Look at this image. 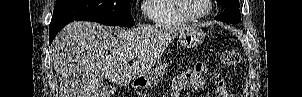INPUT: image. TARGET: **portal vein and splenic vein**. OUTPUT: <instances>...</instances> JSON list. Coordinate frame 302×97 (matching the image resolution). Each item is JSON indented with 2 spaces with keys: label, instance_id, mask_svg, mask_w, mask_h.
<instances>
[{
  "label": "portal vein and splenic vein",
  "instance_id": "obj_1",
  "mask_svg": "<svg viewBox=\"0 0 302 97\" xmlns=\"http://www.w3.org/2000/svg\"><path fill=\"white\" fill-rule=\"evenodd\" d=\"M129 59H130V60H133V59H134V56H133V55L129 56Z\"/></svg>",
  "mask_w": 302,
  "mask_h": 97
}]
</instances>
